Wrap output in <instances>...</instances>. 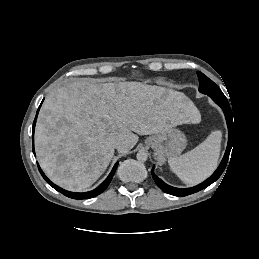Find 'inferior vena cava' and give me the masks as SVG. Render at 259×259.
Wrapping results in <instances>:
<instances>
[{
    "label": "inferior vena cava",
    "mask_w": 259,
    "mask_h": 259,
    "mask_svg": "<svg viewBox=\"0 0 259 259\" xmlns=\"http://www.w3.org/2000/svg\"><path fill=\"white\" fill-rule=\"evenodd\" d=\"M123 145V141L120 140V139H115L113 141V146L116 148V149H120Z\"/></svg>",
    "instance_id": "obj_1"
}]
</instances>
